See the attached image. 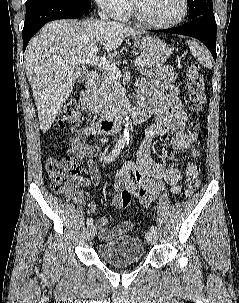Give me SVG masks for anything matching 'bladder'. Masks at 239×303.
Segmentation results:
<instances>
[{
	"label": "bladder",
	"mask_w": 239,
	"mask_h": 303,
	"mask_svg": "<svg viewBox=\"0 0 239 303\" xmlns=\"http://www.w3.org/2000/svg\"><path fill=\"white\" fill-rule=\"evenodd\" d=\"M99 255L118 266L138 263L144 256V242L134 234H123L98 245Z\"/></svg>",
	"instance_id": "1"
}]
</instances>
